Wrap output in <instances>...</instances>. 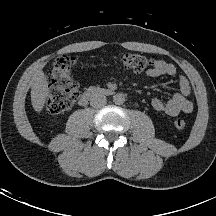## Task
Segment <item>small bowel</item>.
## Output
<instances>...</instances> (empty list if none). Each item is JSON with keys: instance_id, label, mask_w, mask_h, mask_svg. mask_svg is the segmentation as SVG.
<instances>
[{"instance_id": "obj_1", "label": "small bowel", "mask_w": 216, "mask_h": 216, "mask_svg": "<svg viewBox=\"0 0 216 216\" xmlns=\"http://www.w3.org/2000/svg\"><path fill=\"white\" fill-rule=\"evenodd\" d=\"M176 72V67L172 63L157 59L155 60V65L148 69L146 74L150 77H172ZM178 88V92L174 93L166 102L159 98H154L151 101L153 109L170 116L191 113L194 107L192 101L188 98L191 93V86L188 79L183 75L178 77Z\"/></svg>"}]
</instances>
